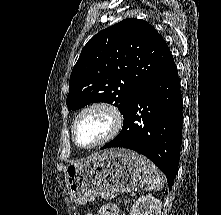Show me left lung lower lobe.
<instances>
[{
  "label": "left lung lower lobe",
  "instance_id": "left-lung-lower-lobe-1",
  "mask_svg": "<svg viewBox=\"0 0 221 215\" xmlns=\"http://www.w3.org/2000/svg\"><path fill=\"white\" fill-rule=\"evenodd\" d=\"M123 117L119 135L101 149L124 147L143 154L166 175L171 189L178 170L182 117L178 71L171 53Z\"/></svg>",
  "mask_w": 221,
  "mask_h": 215
}]
</instances>
